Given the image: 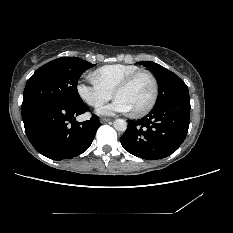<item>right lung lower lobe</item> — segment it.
<instances>
[{
  "instance_id": "98d812e1",
  "label": "right lung lower lobe",
  "mask_w": 233,
  "mask_h": 233,
  "mask_svg": "<svg viewBox=\"0 0 233 233\" xmlns=\"http://www.w3.org/2000/svg\"><path fill=\"white\" fill-rule=\"evenodd\" d=\"M89 110L85 103L76 106L46 101L21 109L26 135L33 147L42 155L53 159H71L91 145L99 118L76 121L75 117Z\"/></svg>"
}]
</instances>
